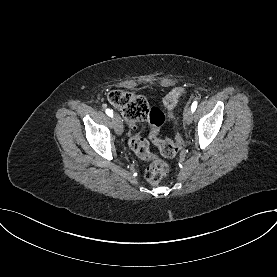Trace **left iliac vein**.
<instances>
[{
    "label": "left iliac vein",
    "mask_w": 277,
    "mask_h": 277,
    "mask_svg": "<svg viewBox=\"0 0 277 277\" xmlns=\"http://www.w3.org/2000/svg\"><path fill=\"white\" fill-rule=\"evenodd\" d=\"M184 122L188 125L192 123L193 120V112L190 107H186L183 113Z\"/></svg>",
    "instance_id": "1"
}]
</instances>
